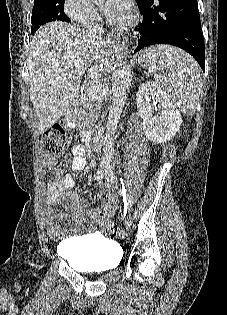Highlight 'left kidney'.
<instances>
[{
	"label": "left kidney",
	"instance_id": "5707ae66",
	"mask_svg": "<svg viewBox=\"0 0 227 315\" xmlns=\"http://www.w3.org/2000/svg\"><path fill=\"white\" fill-rule=\"evenodd\" d=\"M136 104L143 119L142 130L151 142H167L179 131L181 115L157 83L148 81L141 84ZM154 108L160 110L159 114L153 115Z\"/></svg>",
	"mask_w": 227,
	"mask_h": 315
}]
</instances>
